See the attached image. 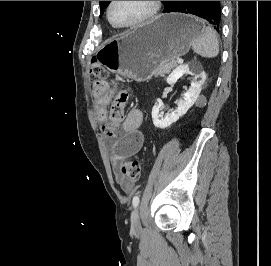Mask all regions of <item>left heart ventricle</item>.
I'll list each match as a JSON object with an SVG mask.
<instances>
[{
    "mask_svg": "<svg viewBox=\"0 0 271 266\" xmlns=\"http://www.w3.org/2000/svg\"><path fill=\"white\" fill-rule=\"evenodd\" d=\"M149 10V1H115L111 9L112 20L119 25L131 24Z\"/></svg>",
    "mask_w": 271,
    "mask_h": 266,
    "instance_id": "obj_1",
    "label": "left heart ventricle"
}]
</instances>
